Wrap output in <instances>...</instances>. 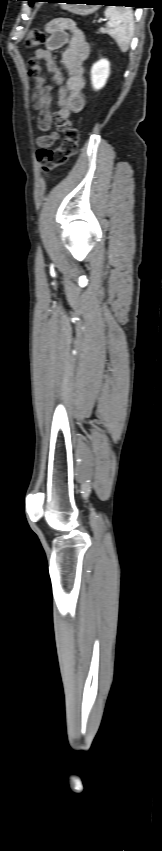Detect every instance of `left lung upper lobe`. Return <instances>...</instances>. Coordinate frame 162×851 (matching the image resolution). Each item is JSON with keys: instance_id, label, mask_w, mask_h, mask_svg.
<instances>
[{"instance_id": "left-lung-upper-lobe-1", "label": "left lung upper lobe", "mask_w": 162, "mask_h": 851, "mask_svg": "<svg viewBox=\"0 0 162 851\" xmlns=\"http://www.w3.org/2000/svg\"><path fill=\"white\" fill-rule=\"evenodd\" d=\"M27 1H29L30 5L32 6V5H33V3H34L35 1H37V0H27Z\"/></svg>"}]
</instances>
